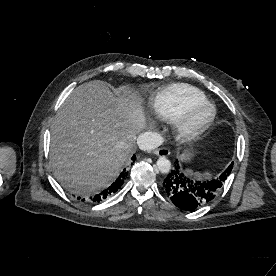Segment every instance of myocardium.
Here are the masks:
<instances>
[{
	"mask_svg": "<svg viewBox=\"0 0 276 276\" xmlns=\"http://www.w3.org/2000/svg\"><path fill=\"white\" fill-rule=\"evenodd\" d=\"M208 107L211 110L210 116L200 124L192 122L193 113L202 108ZM216 117V109L212 103L207 100L197 101L190 104L182 116L174 122L177 137L184 143H192L198 140L205 131L211 126Z\"/></svg>",
	"mask_w": 276,
	"mask_h": 276,
	"instance_id": "myocardium-1",
	"label": "myocardium"
}]
</instances>
